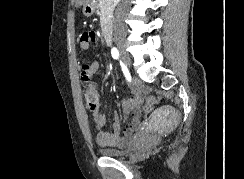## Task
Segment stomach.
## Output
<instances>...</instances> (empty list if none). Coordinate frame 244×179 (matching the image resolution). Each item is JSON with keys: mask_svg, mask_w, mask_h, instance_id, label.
Here are the masks:
<instances>
[{"mask_svg": "<svg viewBox=\"0 0 244 179\" xmlns=\"http://www.w3.org/2000/svg\"><path fill=\"white\" fill-rule=\"evenodd\" d=\"M95 8V0H89V2H85L83 6V14L84 16H92L94 14Z\"/></svg>", "mask_w": 244, "mask_h": 179, "instance_id": "obj_1", "label": "stomach"}]
</instances>
